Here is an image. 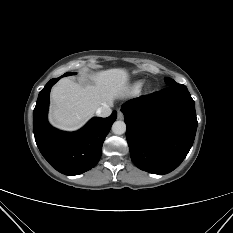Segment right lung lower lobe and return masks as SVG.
Here are the masks:
<instances>
[{"mask_svg":"<svg viewBox=\"0 0 233 233\" xmlns=\"http://www.w3.org/2000/svg\"><path fill=\"white\" fill-rule=\"evenodd\" d=\"M59 79H51L38 95L33 111V132L40 152L53 168L65 175H78L98 163L117 112L113 111L107 118L94 117L77 132L53 128L47 122L49 93Z\"/></svg>","mask_w":233,"mask_h":233,"instance_id":"right-lung-lower-lobe-1","label":"right lung lower lobe"}]
</instances>
